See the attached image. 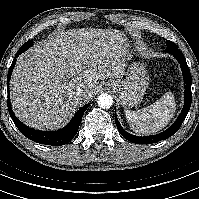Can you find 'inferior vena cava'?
<instances>
[{"mask_svg": "<svg viewBox=\"0 0 199 199\" xmlns=\"http://www.w3.org/2000/svg\"><path fill=\"white\" fill-rule=\"evenodd\" d=\"M84 95V90L82 88H77L75 91H74V96L76 98H82Z\"/></svg>", "mask_w": 199, "mask_h": 199, "instance_id": "1", "label": "inferior vena cava"}]
</instances>
